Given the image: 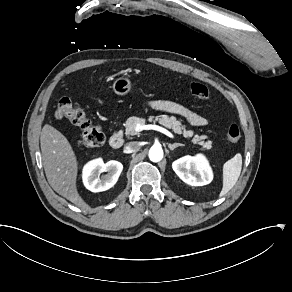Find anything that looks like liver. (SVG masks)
I'll list each match as a JSON object with an SVG mask.
<instances>
[{"label":"liver","mask_w":292,"mask_h":292,"mask_svg":"<svg viewBox=\"0 0 292 292\" xmlns=\"http://www.w3.org/2000/svg\"><path fill=\"white\" fill-rule=\"evenodd\" d=\"M40 147L43 168L52 189L78 208L91 210V206L78 192L79 162L66 136L47 123L40 134Z\"/></svg>","instance_id":"obj_1"}]
</instances>
